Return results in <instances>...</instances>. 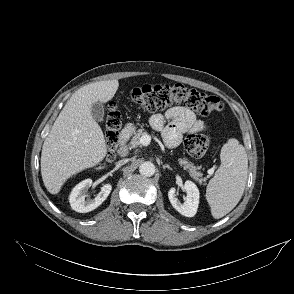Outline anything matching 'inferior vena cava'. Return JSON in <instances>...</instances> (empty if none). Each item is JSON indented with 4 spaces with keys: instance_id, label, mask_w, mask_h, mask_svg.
<instances>
[{
    "instance_id": "inferior-vena-cava-1",
    "label": "inferior vena cava",
    "mask_w": 294,
    "mask_h": 294,
    "mask_svg": "<svg viewBox=\"0 0 294 294\" xmlns=\"http://www.w3.org/2000/svg\"><path fill=\"white\" fill-rule=\"evenodd\" d=\"M127 160H121L122 163H125Z\"/></svg>"
}]
</instances>
